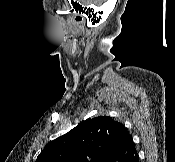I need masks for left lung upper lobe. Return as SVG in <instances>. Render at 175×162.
Wrapping results in <instances>:
<instances>
[{
    "label": "left lung upper lobe",
    "instance_id": "5c2ea615",
    "mask_svg": "<svg viewBox=\"0 0 175 162\" xmlns=\"http://www.w3.org/2000/svg\"><path fill=\"white\" fill-rule=\"evenodd\" d=\"M127 133L111 117L88 118L50 142L35 162H108Z\"/></svg>",
    "mask_w": 175,
    "mask_h": 162
}]
</instances>
